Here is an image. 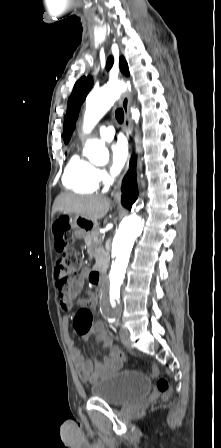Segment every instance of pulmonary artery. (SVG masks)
Here are the masks:
<instances>
[{"label":"pulmonary artery","mask_w":221,"mask_h":448,"mask_svg":"<svg viewBox=\"0 0 221 448\" xmlns=\"http://www.w3.org/2000/svg\"><path fill=\"white\" fill-rule=\"evenodd\" d=\"M98 134L105 140H111L114 137L115 130L111 126L101 125L97 129Z\"/></svg>","instance_id":"obj_1"}]
</instances>
